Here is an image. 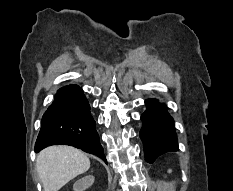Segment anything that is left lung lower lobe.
Segmentation results:
<instances>
[{"label": "left lung lower lobe", "instance_id": "1", "mask_svg": "<svg viewBox=\"0 0 233 191\" xmlns=\"http://www.w3.org/2000/svg\"><path fill=\"white\" fill-rule=\"evenodd\" d=\"M147 110L142 114L140 137L144 144L145 160L154 162L158 157L178 150L172 117L156 99L146 100Z\"/></svg>", "mask_w": 233, "mask_h": 191}]
</instances>
